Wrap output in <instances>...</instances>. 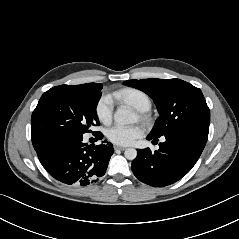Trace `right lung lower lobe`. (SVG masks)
Wrapping results in <instances>:
<instances>
[{
    "label": "right lung lower lobe",
    "mask_w": 239,
    "mask_h": 239,
    "mask_svg": "<svg viewBox=\"0 0 239 239\" xmlns=\"http://www.w3.org/2000/svg\"><path fill=\"white\" fill-rule=\"evenodd\" d=\"M97 133V138L103 135ZM100 145L83 143V135L76 133L56 134L35 149L47 172L68 185L86 186L96 182L106 172L114 152L111 143Z\"/></svg>",
    "instance_id": "1"
}]
</instances>
